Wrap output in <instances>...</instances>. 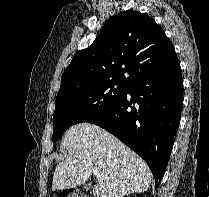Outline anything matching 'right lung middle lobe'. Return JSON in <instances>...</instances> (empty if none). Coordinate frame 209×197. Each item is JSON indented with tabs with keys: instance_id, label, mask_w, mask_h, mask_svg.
I'll list each match as a JSON object with an SVG mask.
<instances>
[{
	"instance_id": "right-lung-middle-lobe-1",
	"label": "right lung middle lobe",
	"mask_w": 209,
	"mask_h": 197,
	"mask_svg": "<svg viewBox=\"0 0 209 197\" xmlns=\"http://www.w3.org/2000/svg\"><path fill=\"white\" fill-rule=\"evenodd\" d=\"M129 84L117 81H95L72 84L57 94L53 116L55 142L70 126L86 122L126 96Z\"/></svg>"
}]
</instances>
